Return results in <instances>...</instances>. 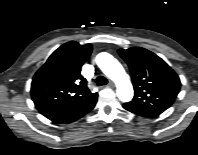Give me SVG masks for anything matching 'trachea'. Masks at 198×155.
<instances>
[{
  "label": "trachea",
  "instance_id": "1",
  "mask_svg": "<svg viewBox=\"0 0 198 155\" xmlns=\"http://www.w3.org/2000/svg\"><path fill=\"white\" fill-rule=\"evenodd\" d=\"M96 83H97L98 86H103V85H106L108 83V80L104 76H98L96 78Z\"/></svg>",
  "mask_w": 198,
  "mask_h": 155
}]
</instances>
